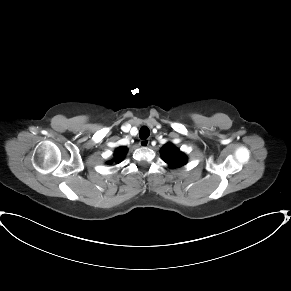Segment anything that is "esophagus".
I'll return each mask as SVG.
<instances>
[{
    "label": "esophagus",
    "mask_w": 291,
    "mask_h": 291,
    "mask_svg": "<svg viewBox=\"0 0 291 291\" xmlns=\"http://www.w3.org/2000/svg\"><path fill=\"white\" fill-rule=\"evenodd\" d=\"M149 144H150V141H149L148 139H146V140H141V141L139 142V145H140L141 147H148Z\"/></svg>",
    "instance_id": "esophagus-1"
}]
</instances>
